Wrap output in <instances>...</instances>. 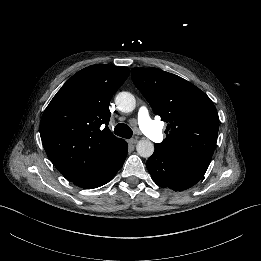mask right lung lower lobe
<instances>
[{"label": "right lung lower lobe", "mask_w": 261, "mask_h": 261, "mask_svg": "<svg viewBox=\"0 0 261 261\" xmlns=\"http://www.w3.org/2000/svg\"><path fill=\"white\" fill-rule=\"evenodd\" d=\"M127 150L128 146L125 145L104 167L74 181V184L85 189H92L106 184L122 167L127 156Z\"/></svg>", "instance_id": "1"}]
</instances>
